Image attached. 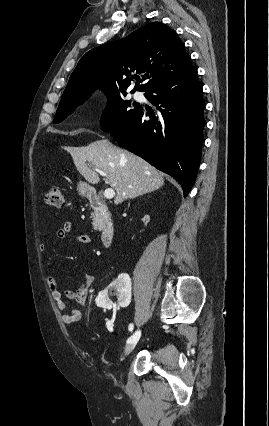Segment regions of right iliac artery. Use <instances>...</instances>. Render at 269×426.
Masks as SVG:
<instances>
[{
	"instance_id": "82829eb1",
	"label": "right iliac artery",
	"mask_w": 269,
	"mask_h": 426,
	"mask_svg": "<svg viewBox=\"0 0 269 426\" xmlns=\"http://www.w3.org/2000/svg\"><path fill=\"white\" fill-rule=\"evenodd\" d=\"M133 328H134V325L131 323V324H129V327H128V329H129V331L130 332H132L133 331Z\"/></svg>"
}]
</instances>
